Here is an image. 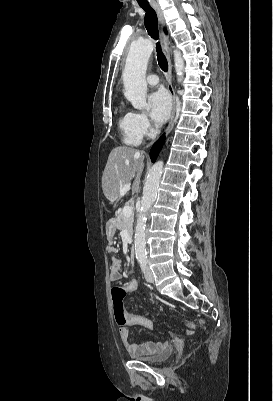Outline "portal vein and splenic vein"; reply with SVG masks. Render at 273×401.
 I'll return each instance as SVG.
<instances>
[{
	"label": "portal vein and splenic vein",
	"instance_id": "1",
	"mask_svg": "<svg viewBox=\"0 0 273 401\" xmlns=\"http://www.w3.org/2000/svg\"><path fill=\"white\" fill-rule=\"evenodd\" d=\"M130 188H131L130 184H124L122 190H120L121 196H124L127 190H130ZM122 213L124 217H131V215H133L132 207H124Z\"/></svg>",
	"mask_w": 273,
	"mask_h": 401
}]
</instances>
